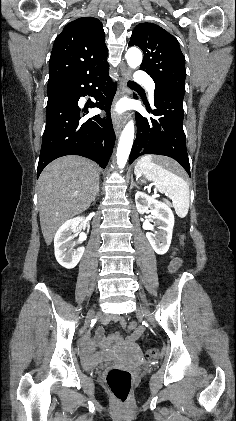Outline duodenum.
Here are the masks:
<instances>
[{
  "instance_id": "410a0bca",
  "label": "duodenum",
  "mask_w": 236,
  "mask_h": 421,
  "mask_svg": "<svg viewBox=\"0 0 236 421\" xmlns=\"http://www.w3.org/2000/svg\"><path fill=\"white\" fill-rule=\"evenodd\" d=\"M176 267H177V264L175 263L173 265V269H175ZM129 338H133V336H130ZM117 339H121V337H119V335H114L110 339L104 340L103 342L98 343V344L103 346V347H106L111 342H113ZM96 345H97V343L88 339V340L85 341V343L83 344V346L81 348L82 360L89 367H92V366L100 363L101 361H103L106 358L103 353H94V349H95Z\"/></svg>"
}]
</instances>
